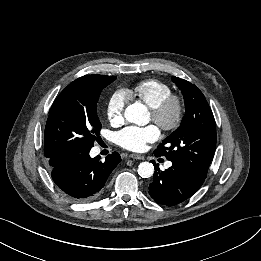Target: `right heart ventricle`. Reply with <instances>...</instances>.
Instances as JSON below:
<instances>
[{
  "mask_svg": "<svg viewBox=\"0 0 261 261\" xmlns=\"http://www.w3.org/2000/svg\"><path fill=\"white\" fill-rule=\"evenodd\" d=\"M126 94L153 109L171 94V89L166 83L149 79L136 84L131 90H127Z\"/></svg>",
  "mask_w": 261,
  "mask_h": 261,
  "instance_id": "e07e8e85",
  "label": "right heart ventricle"
}]
</instances>
